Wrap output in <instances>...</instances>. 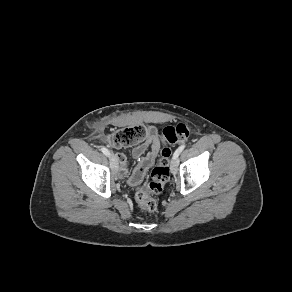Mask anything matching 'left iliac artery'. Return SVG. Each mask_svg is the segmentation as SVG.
Segmentation results:
<instances>
[{
  "label": "left iliac artery",
  "instance_id": "left-iliac-artery-1",
  "mask_svg": "<svg viewBox=\"0 0 292 292\" xmlns=\"http://www.w3.org/2000/svg\"><path fill=\"white\" fill-rule=\"evenodd\" d=\"M185 147H186L185 144L178 147L173 154V159H177L179 157L180 153L185 149Z\"/></svg>",
  "mask_w": 292,
  "mask_h": 292
}]
</instances>
